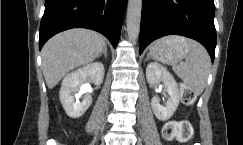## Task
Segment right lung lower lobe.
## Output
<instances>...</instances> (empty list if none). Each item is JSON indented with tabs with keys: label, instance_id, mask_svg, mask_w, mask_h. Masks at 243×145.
Returning a JSON list of instances; mask_svg holds the SVG:
<instances>
[{
	"label": "right lung lower lobe",
	"instance_id": "right-lung-lower-lobe-1",
	"mask_svg": "<svg viewBox=\"0 0 243 145\" xmlns=\"http://www.w3.org/2000/svg\"><path fill=\"white\" fill-rule=\"evenodd\" d=\"M127 0H45L39 48L58 32L88 28L102 33L117 46Z\"/></svg>",
	"mask_w": 243,
	"mask_h": 145
}]
</instances>
